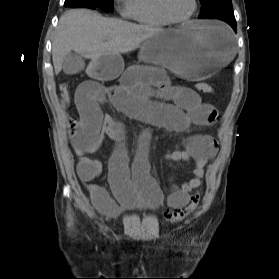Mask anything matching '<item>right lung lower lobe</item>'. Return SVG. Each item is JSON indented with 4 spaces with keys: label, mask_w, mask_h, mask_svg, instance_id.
I'll return each mask as SVG.
<instances>
[{
    "label": "right lung lower lobe",
    "mask_w": 279,
    "mask_h": 279,
    "mask_svg": "<svg viewBox=\"0 0 279 279\" xmlns=\"http://www.w3.org/2000/svg\"><path fill=\"white\" fill-rule=\"evenodd\" d=\"M65 6L70 8H92L94 9L96 6L84 0H71L65 1Z\"/></svg>",
    "instance_id": "1"
}]
</instances>
